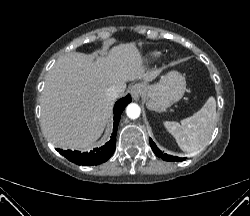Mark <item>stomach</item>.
Returning a JSON list of instances; mask_svg holds the SVG:
<instances>
[{
	"label": "stomach",
	"mask_w": 250,
	"mask_h": 216,
	"mask_svg": "<svg viewBox=\"0 0 250 216\" xmlns=\"http://www.w3.org/2000/svg\"><path fill=\"white\" fill-rule=\"evenodd\" d=\"M186 91L184 76L177 71H170L156 84H143V99L148 109L161 112L179 101Z\"/></svg>",
	"instance_id": "obj_1"
}]
</instances>
